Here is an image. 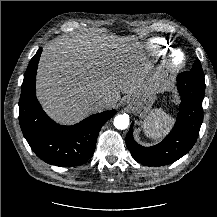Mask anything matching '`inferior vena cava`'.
<instances>
[{
    "instance_id": "1",
    "label": "inferior vena cava",
    "mask_w": 217,
    "mask_h": 217,
    "mask_svg": "<svg viewBox=\"0 0 217 217\" xmlns=\"http://www.w3.org/2000/svg\"><path fill=\"white\" fill-rule=\"evenodd\" d=\"M109 103L110 101L108 99L93 98L92 100H90L89 106L93 112H98L103 110Z\"/></svg>"
}]
</instances>
